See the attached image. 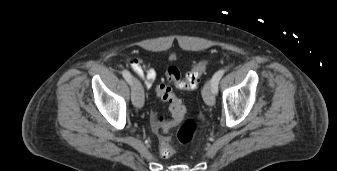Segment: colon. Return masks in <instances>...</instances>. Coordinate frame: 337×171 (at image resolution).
Instances as JSON below:
<instances>
[{
	"label": "colon",
	"mask_w": 337,
	"mask_h": 171,
	"mask_svg": "<svg viewBox=\"0 0 337 171\" xmlns=\"http://www.w3.org/2000/svg\"><path fill=\"white\" fill-rule=\"evenodd\" d=\"M207 64L206 60L196 62L192 69L184 76H181L176 67H169L165 78L180 90H192L198 86L200 77L206 70ZM156 92L168 104L171 113V119H166L163 115H157L153 120V128L158 137L160 155L164 158H169L176 152V148L169 136V131L176 127L177 141L180 144H187L196 135L198 125L196 121L185 117L186 108L184 104L165 82L157 85Z\"/></svg>",
	"instance_id": "obj_1"
}]
</instances>
